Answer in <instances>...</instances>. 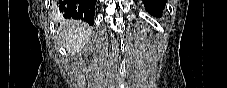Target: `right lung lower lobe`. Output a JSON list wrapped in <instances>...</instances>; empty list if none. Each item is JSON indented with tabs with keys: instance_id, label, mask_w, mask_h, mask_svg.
I'll return each instance as SVG.
<instances>
[{
	"instance_id": "right-lung-lower-lobe-1",
	"label": "right lung lower lobe",
	"mask_w": 227,
	"mask_h": 88,
	"mask_svg": "<svg viewBox=\"0 0 227 88\" xmlns=\"http://www.w3.org/2000/svg\"><path fill=\"white\" fill-rule=\"evenodd\" d=\"M96 0H59L58 11L68 19H77L93 26Z\"/></svg>"
}]
</instances>
